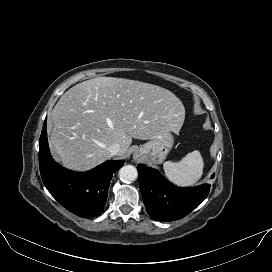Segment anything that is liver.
<instances>
[{"instance_id":"obj_1","label":"liver","mask_w":272,"mask_h":272,"mask_svg":"<svg viewBox=\"0 0 272 272\" xmlns=\"http://www.w3.org/2000/svg\"><path fill=\"white\" fill-rule=\"evenodd\" d=\"M185 119L181 100L171 91L140 81L97 77L66 91L51 112L49 145L56 160L75 171L89 170L120 145L124 156L132 138L148 140L178 133Z\"/></svg>"}]
</instances>
